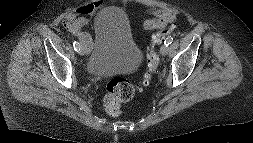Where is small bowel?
Listing matches in <instances>:
<instances>
[{
  "instance_id": "small-bowel-1",
  "label": "small bowel",
  "mask_w": 253,
  "mask_h": 143,
  "mask_svg": "<svg viewBox=\"0 0 253 143\" xmlns=\"http://www.w3.org/2000/svg\"><path fill=\"white\" fill-rule=\"evenodd\" d=\"M99 6V1L84 4L68 14L64 21L65 28L75 35L81 44H84L87 48L91 46L92 40L85 28L89 25L91 16ZM147 12L154 16V18L144 22L143 28L145 30L164 28L173 23L179 15L176 9L170 7H151L147 9ZM151 21L156 22V26L153 28L148 27Z\"/></svg>"
}]
</instances>
